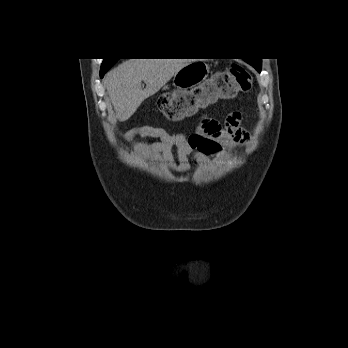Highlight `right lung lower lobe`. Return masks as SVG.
<instances>
[{"label": "right lung lower lobe", "instance_id": "right-lung-lower-lobe-1", "mask_svg": "<svg viewBox=\"0 0 348 348\" xmlns=\"http://www.w3.org/2000/svg\"><path fill=\"white\" fill-rule=\"evenodd\" d=\"M107 70H108V68H105V69L101 68V70H100V77L101 78L104 76V74Z\"/></svg>", "mask_w": 348, "mask_h": 348}]
</instances>
